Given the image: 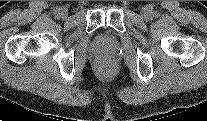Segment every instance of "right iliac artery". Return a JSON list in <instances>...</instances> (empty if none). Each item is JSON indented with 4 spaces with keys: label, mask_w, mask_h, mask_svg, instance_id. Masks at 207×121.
I'll list each match as a JSON object with an SVG mask.
<instances>
[{
    "label": "right iliac artery",
    "mask_w": 207,
    "mask_h": 121,
    "mask_svg": "<svg viewBox=\"0 0 207 121\" xmlns=\"http://www.w3.org/2000/svg\"><path fill=\"white\" fill-rule=\"evenodd\" d=\"M54 13L58 16L60 13V8H55Z\"/></svg>",
    "instance_id": "obj_1"
}]
</instances>
